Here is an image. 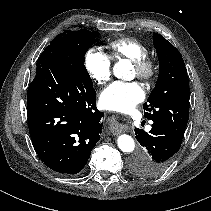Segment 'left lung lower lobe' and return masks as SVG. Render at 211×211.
I'll return each instance as SVG.
<instances>
[{"instance_id":"left-lung-lower-lobe-1","label":"left lung lower lobe","mask_w":211,"mask_h":211,"mask_svg":"<svg viewBox=\"0 0 211 211\" xmlns=\"http://www.w3.org/2000/svg\"><path fill=\"white\" fill-rule=\"evenodd\" d=\"M135 135L140 145L146 148L147 155L139 153L133 156L131 171L138 177L150 178L169 167L180 149L184 133L166 122L153 121L149 133L135 128Z\"/></svg>"}]
</instances>
